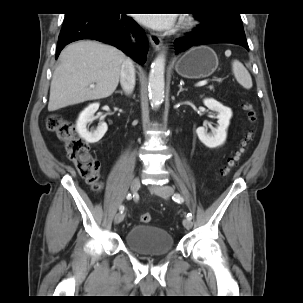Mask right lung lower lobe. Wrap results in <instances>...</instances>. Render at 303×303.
I'll return each instance as SVG.
<instances>
[{
	"mask_svg": "<svg viewBox=\"0 0 303 303\" xmlns=\"http://www.w3.org/2000/svg\"><path fill=\"white\" fill-rule=\"evenodd\" d=\"M137 37L136 45L129 41V35ZM81 39H94L111 44L129 55L139 64H144L148 40L143 29L125 14L98 9H83L66 14L59 35L56 56L69 43Z\"/></svg>",
	"mask_w": 303,
	"mask_h": 303,
	"instance_id": "right-lung-lower-lobe-1",
	"label": "right lung lower lobe"
}]
</instances>
